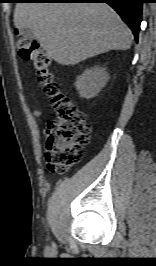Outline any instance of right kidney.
<instances>
[{"instance_id":"right-kidney-1","label":"right kidney","mask_w":156,"mask_h":266,"mask_svg":"<svg viewBox=\"0 0 156 266\" xmlns=\"http://www.w3.org/2000/svg\"><path fill=\"white\" fill-rule=\"evenodd\" d=\"M108 79L109 76L105 68L94 67L85 70L82 75L78 76L75 86L80 97L89 99L100 92Z\"/></svg>"}]
</instances>
